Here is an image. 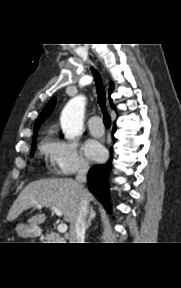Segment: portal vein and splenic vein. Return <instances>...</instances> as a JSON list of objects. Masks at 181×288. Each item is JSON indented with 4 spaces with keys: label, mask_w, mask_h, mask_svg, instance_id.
Segmentation results:
<instances>
[{
    "label": "portal vein and splenic vein",
    "mask_w": 181,
    "mask_h": 288,
    "mask_svg": "<svg viewBox=\"0 0 181 288\" xmlns=\"http://www.w3.org/2000/svg\"><path fill=\"white\" fill-rule=\"evenodd\" d=\"M37 208H42V204L41 203L37 204ZM51 209L53 210V212L56 215L62 216V211L59 208H57L55 206H51ZM57 229H58L59 233H65L67 231V229H68V226L65 223H61V224L58 225Z\"/></svg>",
    "instance_id": "18ae733b"
}]
</instances>
